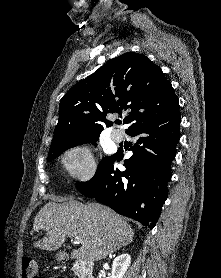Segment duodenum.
<instances>
[{
    "label": "duodenum",
    "instance_id": "1",
    "mask_svg": "<svg viewBox=\"0 0 221 278\" xmlns=\"http://www.w3.org/2000/svg\"><path fill=\"white\" fill-rule=\"evenodd\" d=\"M92 263L86 260H77L73 263V270L78 278H93Z\"/></svg>",
    "mask_w": 221,
    "mask_h": 278
}]
</instances>
